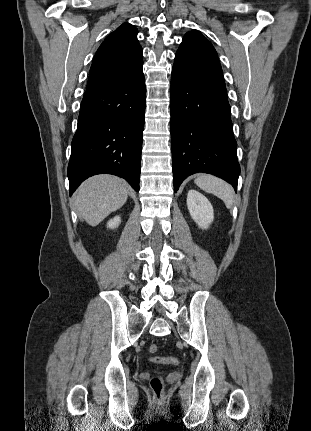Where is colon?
Masks as SVG:
<instances>
[{
    "label": "colon",
    "mask_w": 311,
    "mask_h": 431,
    "mask_svg": "<svg viewBox=\"0 0 311 431\" xmlns=\"http://www.w3.org/2000/svg\"><path fill=\"white\" fill-rule=\"evenodd\" d=\"M157 350H158V347L155 344H152L149 346V352L151 354H155ZM150 361L158 364H171V365L179 364V360L176 357L155 356V357H151ZM151 387L154 393L157 396H159L163 390V382L161 378L158 376L153 377L151 380Z\"/></svg>",
    "instance_id": "1"
}]
</instances>
